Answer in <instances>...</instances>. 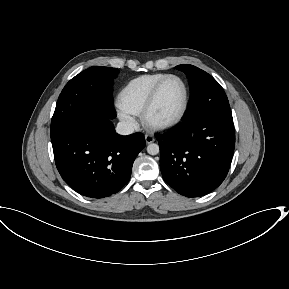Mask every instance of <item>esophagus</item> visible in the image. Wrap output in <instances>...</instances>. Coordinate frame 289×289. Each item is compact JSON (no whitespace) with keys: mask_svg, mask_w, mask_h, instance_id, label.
<instances>
[{"mask_svg":"<svg viewBox=\"0 0 289 289\" xmlns=\"http://www.w3.org/2000/svg\"><path fill=\"white\" fill-rule=\"evenodd\" d=\"M145 141L147 144H150V143L154 142V137L152 135L146 134L145 135Z\"/></svg>","mask_w":289,"mask_h":289,"instance_id":"obj_1","label":"esophagus"}]
</instances>
